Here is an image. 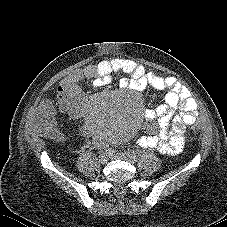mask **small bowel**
<instances>
[{
    "label": "small bowel",
    "instance_id": "c3829d8e",
    "mask_svg": "<svg viewBox=\"0 0 227 227\" xmlns=\"http://www.w3.org/2000/svg\"><path fill=\"white\" fill-rule=\"evenodd\" d=\"M120 73L127 77L121 79L120 86L133 90H143L153 86L164 92V102L153 109H147L144 118L156 121L155 125L139 137L138 143L144 148L156 149L163 154H179L185 144V127L197 120V102L187 87L173 77H162L130 60L113 59L89 65L66 76L57 87V98L64 109H71V100H83L85 93L80 85L84 80H92L95 87L106 86ZM76 106L75 108H77ZM53 106L46 101L40 111L52 114ZM180 111L178 115H175Z\"/></svg>",
    "mask_w": 227,
    "mask_h": 227
}]
</instances>
